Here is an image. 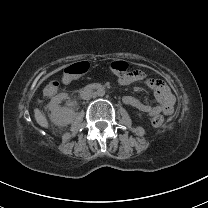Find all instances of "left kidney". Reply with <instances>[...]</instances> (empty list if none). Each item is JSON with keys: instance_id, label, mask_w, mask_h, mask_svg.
I'll return each mask as SVG.
<instances>
[{"instance_id": "left-kidney-1", "label": "left kidney", "mask_w": 208, "mask_h": 208, "mask_svg": "<svg viewBox=\"0 0 208 208\" xmlns=\"http://www.w3.org/2000/svg\"><path fill=\"white\" fill-rule=\"evenodd\" d=\"M138 115V117L141 119V120H144V115L143 114H137Z\"/></svg>"}]
</instances>
